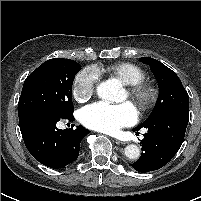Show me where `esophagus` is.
<instances>
[{
	"label": "esophagus",
	"instance_id": "obj_1",
	"mask_svg": "<svg viewBox=\"0 0 201 201\" xmlns=\"http://www.w3.org/2000/svg\"><path fill=\"white\" fill-rule=\"evenodd\" d=\"M115 141H116L117 144H127V142H125V141H120V140H117V139Z\"/></svg>",
	"mask_w": 201,
	"mask_h": 201
}]
</instances>
